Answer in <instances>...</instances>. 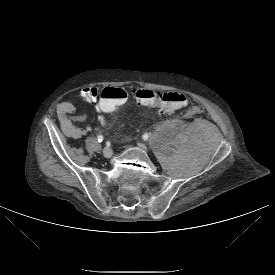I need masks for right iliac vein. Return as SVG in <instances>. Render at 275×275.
I'll return each instance as SVG.
<instances>
[{
  "label": "right iliac vein",
  "mask_w": 275,
  "mask_h": 275,
  "mask_svg": "<svg viewBox=\"0 0 275 275\" xmlns=\"http://www.w3.org/2000/svg\"><path fill=\"white\" fill-rule=\"evenodd\" d=\"M102 153H103L104 157L109 158V157H111L113 152H112L111 148L106 147V148L103 149Z\"/></svg>",
  "instance_id": "right-iliac-vein-1"
}]
</instances>
